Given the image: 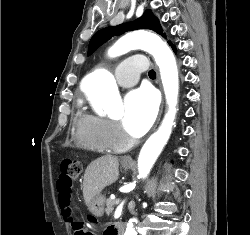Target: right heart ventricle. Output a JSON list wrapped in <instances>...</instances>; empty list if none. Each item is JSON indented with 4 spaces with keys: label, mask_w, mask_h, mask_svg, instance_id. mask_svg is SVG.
I'll return each mask as SVG.
<instances>
[{
    "label": "right heart ventricle",
    "mask_w": 250,
    "mask_h": 235,
    "mask_svg": "<svg viewBox=\"0 0 250 235\" xmlns=\"http://www.w3.org/2000/svg\"><path fill=\"white\" fill-rule=\"evenodd\" d=\"M104 123L100 116L91 113L79 104L75 117V136L78 143L92 151L111 153L121 148L110 144L104 135Z\"/></svg>",
    "instance_id": "e07e8e85"
}]
</instances>
